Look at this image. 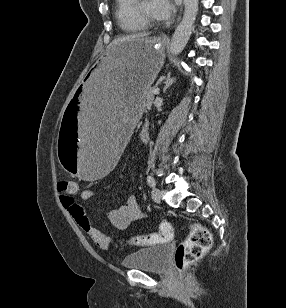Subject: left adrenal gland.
Wrapping results in <instances>:
<instances>
[{
  "instance_id": "1",
  "label": "left adrenal gland",
  "mask_w": 286,
  "mask_h": 308,
  "mask_svg": "<svg viewBox=\"0 0 286 308\" xmlns=\"http://www.w3.org/2000/svg\"><path fill=\"white\" fill-rule=\"evenodd\" d=\"M176 81V78H171L170 73H168L165 82H164V88H163V93L167 91V89Z\"/></svg>"
}]
</instances>
